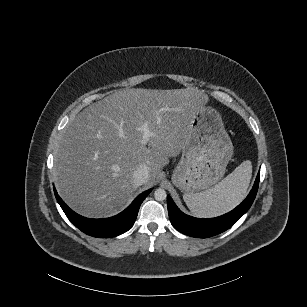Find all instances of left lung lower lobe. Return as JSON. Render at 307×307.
I'll return each mask as SVG.
<instances>
[{
  "label": "left lung lower lobe",
  "mask_w": 307,
  "mask_h": 307,
  "mask_svg": "<svg viewBox=\"0 0 307 307\" xmlns=\"http://www.w3.org/2000/svg\"><path fill=\"white\" fill-rule=\"evenodd\" d=\"M260 171L256 177L254 186L247 198L231 212L211 219H199L181 212L170 196H167V207L172 225L183 234L207 238L229 229L251 207L258 190Z\"/></svg>",
  "instance_id": "0a47b994"
}]
</instances>
